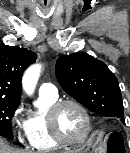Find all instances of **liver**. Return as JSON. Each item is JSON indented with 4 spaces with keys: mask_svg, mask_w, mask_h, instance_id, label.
<instances>
[{
    "mask_svg": "<svg viewBox=\"0 0 130 153\" xmlns=\"http://www.w3.org/2000/svg\"><path fill=\"white\" fill-rule=\"evenodd\" d=\"M0 153H29V152L19 149H13L7 143H5L2 138H0Z\"/></svg>",
    "mask_w": 130,
    "mask_h": 153,
    "instance_id": "1",
    "label": "liver"
}]
</instances>
